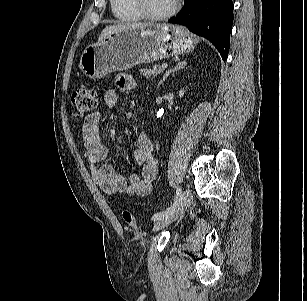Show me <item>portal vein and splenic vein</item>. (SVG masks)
I'll return each instance as SVG.
<instances>
[{"label": "portal vein and splenic vein", "instance_id": "1", "mask_svg": "<svg viewBox=\"0 0 307 301\" xmlns=\"http://www.w3.org/2000/svg\"><path fill=\"white\" fill-rule=\"evenodd\" d=\"M167 67H168V64H166V63L162 64V66H161L162 69H166Z\"/></svg>", "mask_w": 307, "mask_h": 301}]
</instances>
